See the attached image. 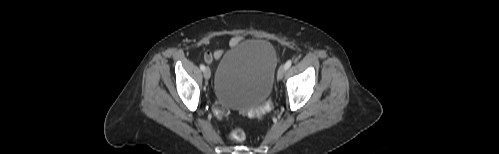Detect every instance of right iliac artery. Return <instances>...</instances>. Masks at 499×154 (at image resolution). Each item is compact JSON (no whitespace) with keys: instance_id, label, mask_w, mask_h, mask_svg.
Here are the masks:
<instances>
[{"instance_id":"right-iliac-artery-1","label":"right iliac artery","mask_w":499,"mask_h":154,"mask_svg":"<svg viewBox=\"0 0 499 154\" xmlns=\"http://www.w3.org/2000/svg\"><path fill=\"white\" fill-rule=\"evenodd\" d=\"M200 69H201L202 71H204L205 66H204L203 64H201V65H200Z\"/></svg>"}]
</instances>
